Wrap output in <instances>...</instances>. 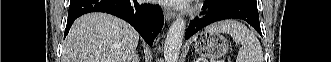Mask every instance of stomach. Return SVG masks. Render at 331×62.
I'll return each mask as SVG.
<instances>
[{"label":"stomach","instance_id":"stomach-1","mask_svg":"<svg viewBox=\"0 0 331 62\" xmlns=\"http://www.w3.org/2000/svg\"><path fill=\"white\" fill-rule=\"evenodd\" d=\"M194 50L201 56L218 59L224 56L229 48L227 40L219 33L200 32L193 37Z\"/></svg>","mask_w":331,"mask_h":62}]
</instances>
